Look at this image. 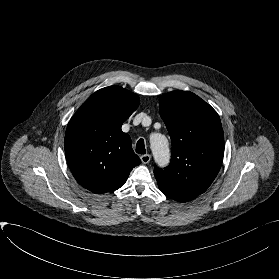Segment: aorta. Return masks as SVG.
Here are the masks:
<instances>
[{"label":"aorta","mask_w":279,"mask_h":279,"mask_svg":"<svg viewBox=\"0 0 279 279\" xmlns=\"http://www.w3.org/2000/svg\"><path fill=\"white\" fill-rule=\"evenodd\" d=\"M150 145L155 162L160 166L168 164L170 159V150L167 138L159 133L150 137Z\"/></svg>","instance_id":"762f6f07"}]
</instances>
